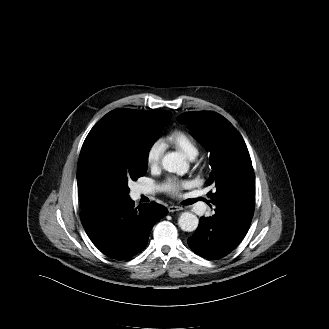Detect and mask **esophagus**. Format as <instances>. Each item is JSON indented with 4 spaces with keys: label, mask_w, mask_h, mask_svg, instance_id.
<instances>
[{
    "label": "esophagus",
    "mask_w": 329,
    "mask_h": 329,
    "mask_svg": "<svg viewBox=\"0 0 329 329\" xmlns=\"http://www.w3.org/2000/svg\"><path fill=\"white\" fill-rule=\"evenodd\" d=\"M183 208L180 207V206H176V205H171L168 207V211L169 212H175V211H180L182 210Z\"/></svg>",
    "instance_id": "obj_1"
}]
</instances>
